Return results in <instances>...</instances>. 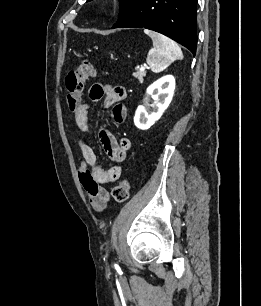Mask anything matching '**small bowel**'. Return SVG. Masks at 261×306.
<instances>
[{"label":"small bowel","mask_w":261,"mask_h":306,"mask_svg":"<svg viewBox=\"0 0 261 306\" xmlns=\"http://www.w3.org/2000/svg\"><path fill=\"white\" fill-rule=\"evenodd\" d=\"M89 96L92 101L104 98V107H112L113 121L117 124L124 122L126 108L121 103L126 97V89L124 87L94 84L90 88ZM89 111L90 106L85 103L80 104L74 111L75 126L82 135H86L89 132ZM99 140L111 160L117 164L109 168H103L99 164L93 148L82 138H78L76 141L81 151L79 180L89 197L91 206L96 211L105 209L110 199V194L103 185L113 183L120 177L122 168L119 163L125 160L131 148L129 138L122 136L117 139L105 129L99 131Z\"/></svg>","instance_id":"c3829d8e"}]
</instances>
